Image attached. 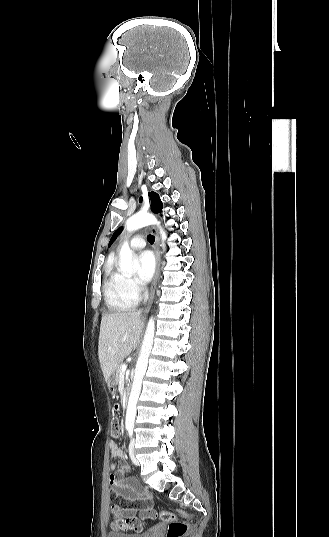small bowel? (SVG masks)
I'll use <instances>...</instances> for the list:
<instances>
[{
    "instance_id": "small-bowel-1",
    "label": "small bowel",
    "mask_w": 329,
    "mask_h": 537,
    "mask_svg": "<svg viewBox=\"0 0 329 537\" xmlns=\"http://www.w3.org/2000/svg\"><path fill=\"white\" fill-rule=\"evenodd\" d=\"M122 405L119 402L114 403L112 412L117 414ZM110 455L112 458L122 459L124 454L121 448L115 442H110ZM127 465L122 463L119 467L115 464L110 465L109 484L114 488L110 494V504L112 506H121V513L128 519V524L116 526L118 521H113L112 526L117 529L123 528L140 530L143 527L141 520H150L155 517V512L151 506L149 491L140 486L134 478L126 476ZM131 502L137 503L136 506L127 507ZM139 515V518L136 516Z\"/></svg>"
}]
</instances>
